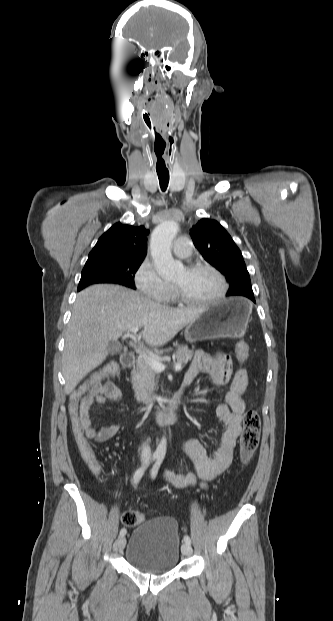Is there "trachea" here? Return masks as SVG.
I'll use <instances>...</instances> for the list:
<instances>
[{
	"instance_id": "3493384b",
	"label": "trachea",
	"mask_w": 333,
	"mask_h": 621,
	"mask_svg": "<svg viewBox=\"0 0 333 621\" xmlns=\"http://www.w3.org/2000/svg\"><path fill=\"white\" fill-rule=\"evenodd\" d=\"M160 187L162 191H166L169 184V173H159L157 172Z\"/></svg>"
}]
</instances>
